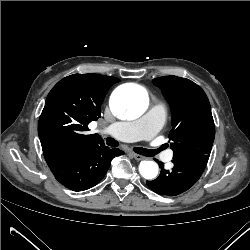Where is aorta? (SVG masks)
<instances>
[{
	"label": "aorta",
	"mask_w": 250,
	"mask_h": 250,
	"mask_svg": "<svg viewBox=\"0 0 250 250\" xmlns=\"http://www.w3.org/2000/svg\"><path fill=\"white\" fill-rule=\"evenodd\" d=\"M148 106L149 99L146 92L134 85L116 89L110 99L112 113L128 120L140 117ZM139 172L145 179H153L158 174V165L154 161H142Z\"/></svg>",
	"instance_id": "762f6f07"
}]
</instances>
